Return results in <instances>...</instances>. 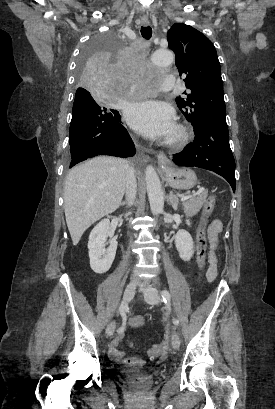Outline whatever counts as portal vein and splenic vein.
Returning <instances> with one entry per match:
<instances>
[{"label": "portal vein and splenic vein", "instance_id": "18ae733b", "mask_svg": "<svg viewBox=\"0 0 275 409\" xmlns=\"http://www.w3.org/2000/svg\"><path fill=\"white\" fill-rule=\"evenodd\" d=\"M199 190H204V188H199ZM198 194V192H196ZM187 198H190V196H182L181 200H187Z\"/></svg>", "mask_w": 275, "mask_h": 409}]
</instances>
